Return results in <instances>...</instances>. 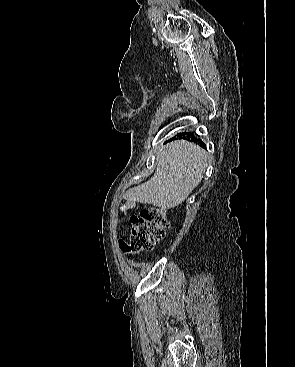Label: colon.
<instances>
[{"instance_id":"obj_1","label":"colon","mask_w":295,"mask_h":367,"mask_svg":"<svg viewBox=\"0 0 295 367\" xmlns=\"http://www.w3.org/2000/svg\"><path fill=\"white\" fill-rule=\"evenodd\" d=\"M132 203L124 208L130 209ZM131 234L129 241H122L121 248L125 252L150 250L166 235L168 219L166 211L160 208H149L131 217Z\"/></svg>"}]
</instances>
